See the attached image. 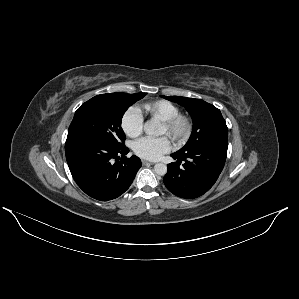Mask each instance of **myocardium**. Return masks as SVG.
Returning <instances> with one entry per match:
<instances>
[{
	"instance_id": "myocardium-1",
	"label": "myocardium",
	"mask_w": 299,
	"mask_h": 299,
	"mask_svg": "<svg viewBox=\"0 0 299 299\" xmlns=\"http://www.w3.org/2000/svg\"><path fill=\"white\" fill-rule=\"evenodd\" d=\"M167 135L177 142L185 141L191 134L192 122L189 117L179 114L176 117L163 122Z\"/></svg>"
}]
</instances>
